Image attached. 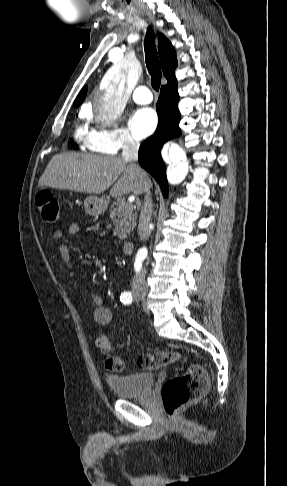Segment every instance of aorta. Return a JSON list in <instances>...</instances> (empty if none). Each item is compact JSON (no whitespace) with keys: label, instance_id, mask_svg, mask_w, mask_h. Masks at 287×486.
<instances>
[{"label":"aorta","instance_id":"aorta-1","mask_svg":"<svg viewBox=\"0 0 287 486\" xmlns=\"http://www.w3.org/2000/svg\"><path fill=\"white\" fill-rule=\"evenodd\" d=\"M129 90V80L123 73H114L108 77L106 86L95 98L94 112L96 119L108 124L114 122L123 112L125 95ZM172 159L167 170L168 182L172 185L180 184L188 173V163L183 150L172 144L169 149ZM147 248L138 250L135 258V268L138 269L141 262L147 257Z\"/></svg>","mask_w":287,"mask_h":486}]
</instances>
